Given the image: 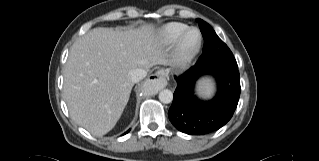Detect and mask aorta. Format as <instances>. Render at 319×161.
Instances as JSON below:
<instances>
[{"mask_svg":"<svg viewBox=\"0 0 319 161\" xmlns=\"http://www.w3.org/2000/svg\"><path fill=\"white\" fill-rule=\"evenodd\" d=\"M159 100L164 104L171 103L173 100V93L168 89H164L159 93Z\"/></svg>","mask_w":319,"mask_h":161,"instance_id":"1","label":"aorta"}]
</instances>
